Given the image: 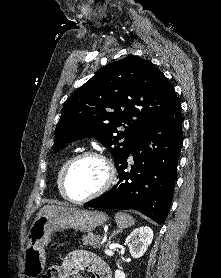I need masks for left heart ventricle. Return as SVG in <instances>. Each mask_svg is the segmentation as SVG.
Returning a JSON list of instances; mask_svg holds the SVG:
<instances>
[{
	"instance_id": "obj_1",
	"label": "left heart ventricle",
	"mask_w": 221,
	"mask_h": 278,
	"mask_svg": "<svg viewBox=\"0 0 221 278\" xmlns=\"http://www.w3.org/2000/svg\"><path fill=\"white\" fill-rule=\"evenodd\" d=\"M105 169L96 158L87 157L75 162L67 176V192L73 199H81L94 192L104 181Z\"/></svg>"
}]
</instances>
